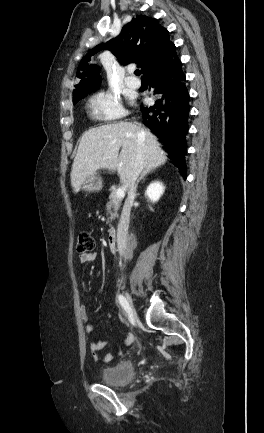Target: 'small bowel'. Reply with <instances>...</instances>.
<instances>
[{"label": "small bowel", "mask_w": 264, "mask_h": 433, "mask_svg": "<svg viewBox=\"0 0 264 433\" xmlns=\"http://www.w3.org/2000/svg\"><path fill=\"white\" fill-rule=\"evenodd\" d=\"M97 253L95 251H92L87 254H83L79 257L80 264H85L89 262H93L96 260ZM80 317L83 322L86 323L85 330L87 333H91L93 331L94 326L90 323H88V313H87V307L86 303L83 302L80 305L79 308ZM132 342V336L129 334L125 340V345L128 346ZM108 342L105 340H95L91 342L90 344V353L95 361H103V362H110L114 358L113 353H106L103 358L99 357V352L106 348Z\"/></svg>", "instance_id": "obj_1"}]
</instances>
